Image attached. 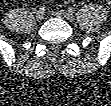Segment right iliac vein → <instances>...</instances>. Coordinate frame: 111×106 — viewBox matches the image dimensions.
<instances>
[{
    "label": "right iliac vein",
    "mask_w": 111,
    "mask_h": 106,
    "mask_svg": "<svg viewBox=\"0 0 111 106\" xmlns=\"http://www.w3.org/2000/svg\"><path fill=\"white\" fill-rule=\"evenodd\" d=\"M35 19L38 22L42 21L44 19V13L41 11H38L35 15Z\"/></svg>",
    "instance_id": "1"
}]
</instances>
